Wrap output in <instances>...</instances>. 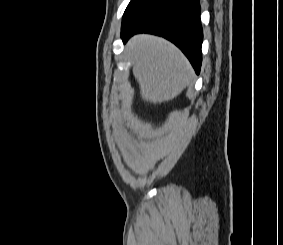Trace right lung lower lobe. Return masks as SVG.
<instances>
[{"label": "right lung lower lobe", "instance_id": "1", "mask_svg": "<svg viewBox=\"0 0 283 245\" xmlns=\"http://www.w3.org/2000/svg\"><path fill=\"white\" fill-rule=\"evenodd\" d=\"M142 32L173 42L199 74L203 40L199 0H152L122 23L121 38L125 43L132 35Z\"/></svg>", "mask_w": 283, "mask_h": 245}]
</instances>
